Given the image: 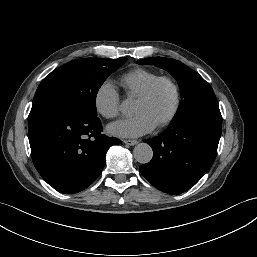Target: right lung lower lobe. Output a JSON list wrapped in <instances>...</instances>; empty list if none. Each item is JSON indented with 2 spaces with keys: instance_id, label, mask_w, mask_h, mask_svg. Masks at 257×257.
Here are the masks:
<instances>
[{
  "instance_id": "98d812e1",
  "label": "right lung lower lobe",
  "mask_w": 257,
  "mask_h": 257,
  "mask_svg": "<svg viewBox=\"0 0 257 257\" xmlns=\"http://www.w3.org/2000/svg\"><path fill=\"white\" fill-rule=\"evenodd\" d=\"M97 116L35 110L28 117L33 163L42 178L61 193L87 188L102 172L109 147L120 144L103 135Z\"/></svg>"
}]
</instances>
